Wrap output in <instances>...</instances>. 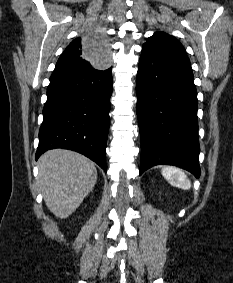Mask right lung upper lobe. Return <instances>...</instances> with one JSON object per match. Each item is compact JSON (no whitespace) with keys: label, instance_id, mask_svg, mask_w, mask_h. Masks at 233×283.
Instances as JSON below:
<instances>
[{"label":"right lung upper lobe","instance_id":"right-lung-upper-lobe-1","mask_svg":"<svg viewBox=\"0 0 233 283\" xmlns=\"http://www.w3.org/2000/svg\"><path fill=\"white\" fill-rule=\"evenodd\" d=\"M115 49H110L106 35L97 29L90 31L83 37L73 40L62 53L57 61L55 70L87 67L100 65L103 70L104 65H110Z\"/></svg>","mask_w":233,"mask_h":283}]
</instances>
